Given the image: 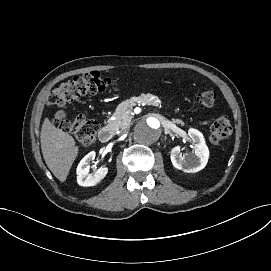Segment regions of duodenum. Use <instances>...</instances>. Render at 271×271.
I'll use <instances>...</instances> for the list:
<instances>
[{"label":"duodenum","mask_w":271,"mask_h":271,"mask_svg":"<svg viewBox=\"0 0 271 271\" xmlns=\"http://www.w3.org/2000/svg\"><path fill=\"white\" fill-rule=\"evenodd\" d=\"M99 140L102 142V143H106L108 142L112 136H113V131H112V128L109 124H105L99 131Z\"/></svg>","instance_id":"1"}]
</instances>
